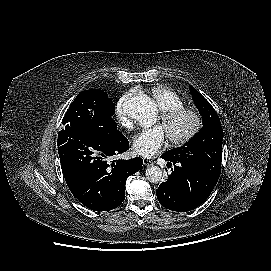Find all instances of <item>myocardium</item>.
I'll list each match as a JSON object with an SVG mask.
<instances>
[{
  "label": "myocardium",
  "instance_id": "obj_1",
  "mask_svg": "<svg viewBox=\"0 0 271 271\" xmlns=\"http://www.w3.org/2000/svg\"><path fill=\"white\" fill-rule=\"evenodd\" d=\"M181 117H189L191 120V125L189 129L180 135L169 134V139L175 146H182L190 142L196 135L200 132L203 121L201 114L193 108L179 107L169 110H164L161 112V122L164 126H169L175 120Z\"/></svg>",
  "mask_w": 271,
  "mask_h": 271
}]
</instances>
